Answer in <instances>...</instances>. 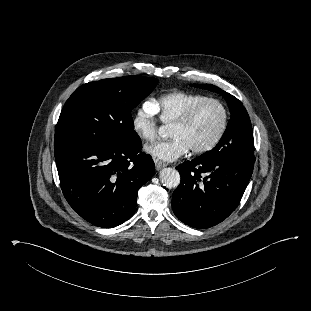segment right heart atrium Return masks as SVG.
Listing matches in <instances>:
<instances>
[{
  "instance_id": "1",
  "label": "right heart atrium",
  "mask_w": 311,
  "mask_h": 311,
  "mask_svg": "<svg viewBox=\"0 0 311 311\" xmlns=\"http://www.w3.org/2000/svg\"><path fill=\"white\" fill-rule=\"evenodd\" d=\"M152 100L146 101L132 117V129L143 141L151 142L156 138L159 121Z\"/></svg>"
}]
</instances>
